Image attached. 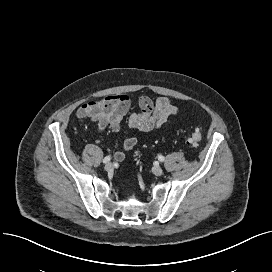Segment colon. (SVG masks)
<instances>
[{"label":"colon","mask_w":272,"mask_h":272,"mask_svg":"<svg viewBox=\"0 0 272 272\" xmlns=\"http://www.w3.org/2000/svg\"><path fill=\"white\" fill-rule=\"evenodd\" d=\"M101 124L110 125V122H108L105 118H102ZM201 140H202V135H201L200 131L198 129H196L190 135V137L188 139V143L190 145H198L201 142Z\"/></svg>","instance_id":"5ec220e1"}]
</instances>
